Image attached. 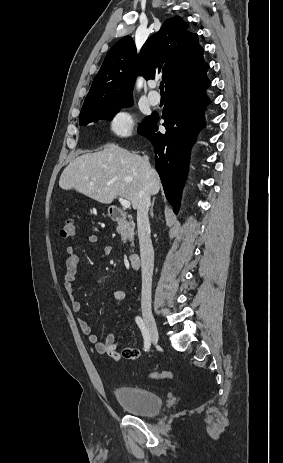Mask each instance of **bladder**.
I'll return each instance as SVG.
<instances>
[{
	"instance_id": "obj_1",
	"label": "bladder",
	"mask_w": 283,
	"mask_h": 463,
	"mask_svg": "<svg viewBox=\"0 0 283 463\" xmlns=\"http://www.w3.org/2000/svg\"><path fill=\"white\" fill-rule=\"evenodd\" d=\"M114 396L118 403L132 415L152 417L162 409L159 394L137 386L117 387L114 389Z\"/></svg>"
}]
</instances>
